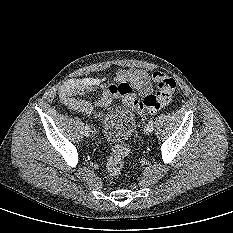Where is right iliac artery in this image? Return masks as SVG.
<instances>
[{"label": "right iliac artery", "instance_id": "1", "mask_svg": "<svg viewBox=\"0 0 233 233\" xmlns=\"http://www.w3.org/2000/svg\"><path fill=\"white\" fill-rule=\"evenodd\" d=\"M85 135L88 137L90 136V126L89 124L86 122V125H85Z\"/></svg>", "mask_w": 233, "mask_h": 233}]
</instances>
